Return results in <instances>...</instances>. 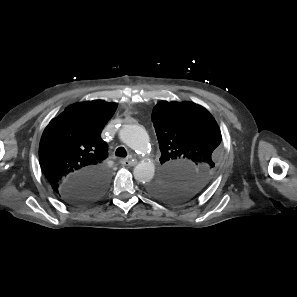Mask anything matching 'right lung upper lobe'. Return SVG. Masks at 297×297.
Listing matches in <instances>:
<instances>
[{"instance_id":"right-lung-upper-lobe-1","label":"right lung upper lobe","mask_w":297,"mask_h":297,"mask_svg":"<svg viewBox=\"0 0 297 297\" xmlns=\"http://www.w3.org/2000/svg\"><path fill=\"white\" fill-rule=\"evenodd\" d=\"M117 103L94 100L73 104L52 119L43 132L39 159L53 190L61 189L78 173L104 169L108 147L100 133Z\"/></svg>"}]
</instances>
